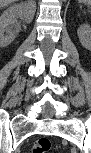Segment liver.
Listing matches in <instances>:
<instances>
[{
	"label": "liver",
	"mask_w": 91,
	"mask_h": 153,
	"mask_svg": "<svg viewBox=\"0 0 91 153\" xmlns=\"http://www.w3.org/2000/svg\"><path fill=\"white\" fill-rule=\"evenodd\" d=\"M14 2V0H1V6L8 5L10 3Z\"/></svg>",
	"instance_id": "6515ba94"
}]
</instances>
